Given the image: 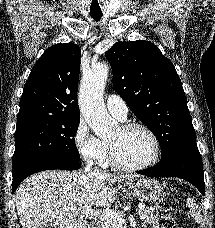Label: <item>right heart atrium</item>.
Masks as SVG:
<instances>
[{
  "mask_svg": "<svg viewBox=\"0 0 215 228\" xmlns=\"http://www.w3.org/2000/svg\"><path fill=\"white\" fill-rule=\"evenodd\" d=\"M72 142L78 157L89 164L101 163L105 155L102 142L91 132L86 120L78 119L72 135Z\"/></svg>",
  "mask_w": 215,
  "mask_h": 228,
  "instance_id": "d8ad5b80",
  "label": "right heart atrium"
}]
</instances>
